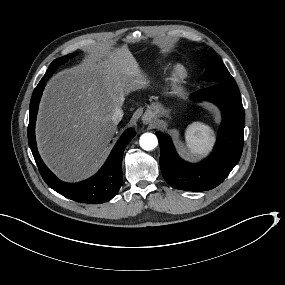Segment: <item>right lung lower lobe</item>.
Masks as SVG:
<instances>
[{
	"label": "right lung lower lobe",
	"mask_w": 285,
	"mask_h": 285,
	"mask_svg": "<svg viewBox=\"0 0 285 285\" xmlns=\"http://www.w3.org/2000/svg\"><path fill=\"white\" fill-rule=\"evenodd\" d=\"M45 82H39L30 101V118L28 125V142L39 172L49 187L76 202L100 204L113 198L118 192L122 180L123 152L130 140L136 135L133 128L127 129L117 141L107 161L100 171L91 178L78 183H65L59 180L43 163L36 145L35 122L39 102L45 87Z\"/></svg>",
	"instance_id": "right-lung-lower-lobe-1"
}]
</instances>
